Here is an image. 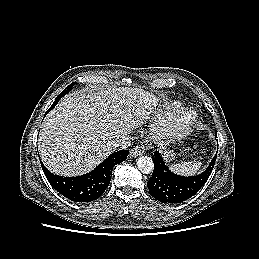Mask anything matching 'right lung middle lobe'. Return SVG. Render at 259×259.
<instances>
[{
    "mask_svg": "<svg viewBox=\"0 0 259 259\" xmlns=\"http://www.w3.org/2000/svg\"><path fill=\"white\" fill-rule=\"evenodd\" d=\"M76 83H71L68 87H66L58 96L59 97H63L64 95H66L71 89H72V87L75 85ZM57 96V97H58ZM56 101V100H55ZM55 101H54V103L52 104V108H54V104H55ZM50 107V108H51Z\"/></svg>",
    "mask_w": 259,
    "mask_h": 259,
    "instance_id": "obj_1",
    "label": "right lung middle lobe"
}]
</instances>
